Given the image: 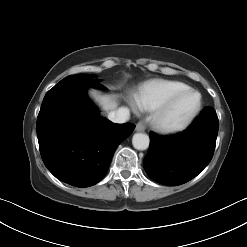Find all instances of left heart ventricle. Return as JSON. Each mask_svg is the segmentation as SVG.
<instances>
[{"mask_svg":"<svg viewBox=\"0 0 247 247\" xmlns=\"http://www.w3.org/2000/svg\"><path fill=\"white\" fill-rule=\"evenodd\" d=\"M197 96L188 94L183 96L172 108L167 117V122L170 124L178 123L184 119L195 107Z\"/></svg>","mask_w":247,"mask_h":247,"instance_id":"1","label":"left heart ventricle"}]
</instances>
